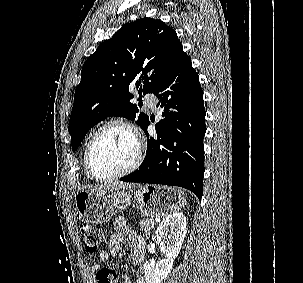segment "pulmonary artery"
Listing matches in <instances>:
<instances>
[{
    "label": "pulmonary artery",
    "mask_w": 303,
    "mask_h": 283,
    "mask_svg": "<svg viewBox=\"0 0 303 283\" xmlns=\"http://www.w3.org/2000/svg\"><path fill=\"white\" fill-rule=\"evenodd\" d=\"M145 105L151 109H154V107L156 105V97L151 93L146 94L145 95Z\"/></svg>",
    "instance_id": "e3ab8cb5"
}]
</instances>
